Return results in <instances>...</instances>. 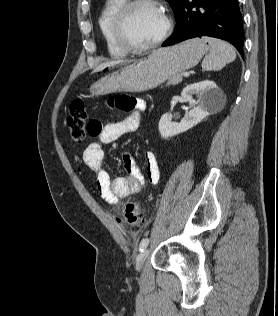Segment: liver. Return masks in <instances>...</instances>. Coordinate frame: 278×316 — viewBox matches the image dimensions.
<instances>
[{
    "label": "liver",
    "mask_w": 278,
    "mask_h": 316,
    "mask_svg": "<svg viewBox=\"0 0 278 316\" xmlns=\"http://www.w3.org/2000/svg\"><path fill=\"white\" fill-rule=\"evenodd\" d=\"M122 60H118V61H110V62H105L100 64L93 72H99L102 71L103 69L107 68V67H113L119 63H122Z\"/></svg>",
    "instance_id": "6515ba94"
}]
</instances>
